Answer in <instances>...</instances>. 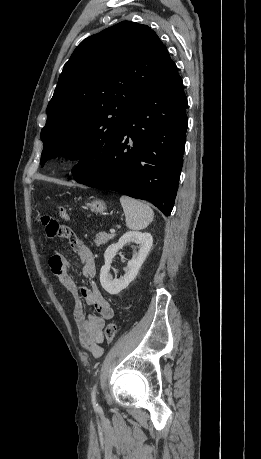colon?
Segmentation results:
<instances>
[{"instance_id":"1","label":"colon","mask_w":261,"mask_h":459,"mask_svg":"<svg viewBox=\"0 0 261 459\" xmlns=\"http://www.w3.org/2000/svg\"><path fill=\"white\" fill-rule=\"evenodd\" d=\"M58 215L63 218V219H68L69 215L67 213V210L64 207H58L57 208ZM41 222L44 226H47L50 230H53L57 226V222L50 217L43 216L41 217ZM118 331V327L115 323H109L106 325L104 329V336L107 344H110L116 337Z\"/></svg>"}]
</instances>
